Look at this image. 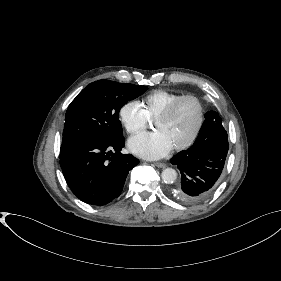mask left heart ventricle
I'll use <instances>...</instances> for the list:
<instances>
[{"instance_id": "b2bd125f", "label": "left heart ventricle", "mask_w": 281, "mask_h": 281, "mask_svg": "<svg viewBox=\"0 0 281 281\" xmlns=\"http://www.w3.org/2000/svg\"><path fill=\"white\" fill-rule=\"evenodd\" d=\"M197 120L198 106L196 102L187 100L182 102L169 118L155 120L153 128L155 131L161 132L174 147L190 137Z\"/></svg>"}]
</instances>
